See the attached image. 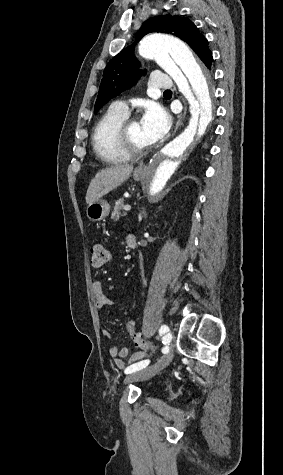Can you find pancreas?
I'll return each instance as SVG.
<instances>
[{"instance_id":"cf45deb5","label":"pancreas","mask_w":283,"mask_h":475,"mask_svg":"<svg viewBox=\"0 0 283 475\" xmlns=\"http://www.w3.org/2000/svg\"><path fill=\"white\" fill-rule=\"evenodd\" d=\"M124 208V198L115 202L114 210L111 214V220H119V216H127L126 212H121Z\"/></svg>"}]
</instances>
